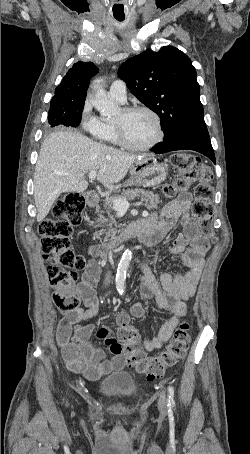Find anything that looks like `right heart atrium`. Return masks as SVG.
Listing matches in <instances>:
<instances>
[{
  "instance_id": "right-heart-atrium-1",
  "label": "right heart atrium",
  "mask_w": 250,
  "mask_h": 454,
  "mask_svg": "<svg viewBox=\"0 0 250 454\" xmlns=\"http://www.w3.org/2000/svg\"><path fill=\"white\" fill-rule=\"evenodd\" d=\"M81 124L83 129L93 135H96L101 127L100 119L92 113L90 103L87 101L82 109Z\"/></svg>"
}]
</instances>
